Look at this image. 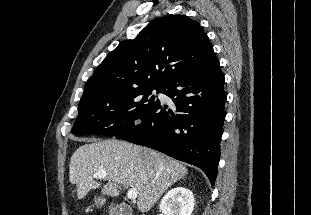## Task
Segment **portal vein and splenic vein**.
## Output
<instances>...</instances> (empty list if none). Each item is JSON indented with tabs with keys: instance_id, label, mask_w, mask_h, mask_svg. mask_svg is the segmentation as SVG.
Returning a JSON list of instances; mask_svg holds the SVG:
<instances>
[{
	"instance_id": "obj_1",
	"label": "portal vein and splenic vein",
	"mask_w": 311,
	"mask_h": 215,
	"mask_svg": "<svg viewBox=\"0 0 311 215\" xmlns=\"http://www.w3.org/2000/svg\"><path fill=\"white\" fill-rule=\"evenodd\" d=\"M107 172L104 170H99L97 172L94 173V178L96 179H102V178H106L107 177ZM138 196V192L136 189H129L127 192V198L130 200H136Z\"/></svg>"
}]
</instances>
